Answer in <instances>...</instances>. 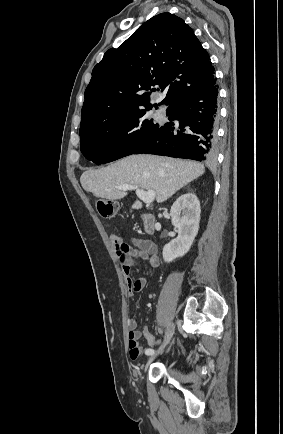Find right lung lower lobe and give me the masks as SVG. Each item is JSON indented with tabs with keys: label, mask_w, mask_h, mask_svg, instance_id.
Listing matches in <instances>:
<instances>
[{
	"label": "right lung lower lobe",
	"mask_w": 283,
	"mask_h": 434,
	"mask_svg": "<svg viewBox=\"0 0 283 434\" xmlns=\"http://www.w3.org/2000/svg\"><path fill=\"white\" fill-rule=\"evenodd\" d=\"M162 124L132 154L147 153L212 162L215 159L218 88L215 84L179 100ZM176 119L178 122L174 123Z\"/></svg>",
	"instance_id": "1"
}]
</instances>
